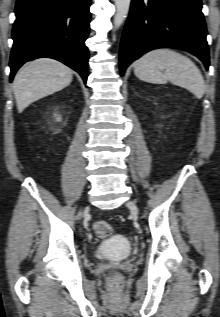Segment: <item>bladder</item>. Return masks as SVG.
<instances>
[{"mask_svg":"<svg viewBox=\"0 0 220 317\" xmlns=\"http://www.w3.org/2000/svg\"><path fill=\"white\" fill-rule=\"evenodd\" d=\"M96 252L101 258L124 259L131 254V245L125 236L115 233L104 238Z\"/></svg>","mask_w":220,"mask_h":317,"instance_id":"bladder-1","label":"bladder"}]
</instances>
